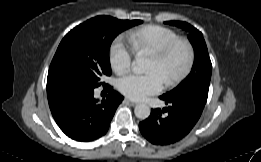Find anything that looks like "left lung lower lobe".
I'll return each mask as SVG.
<instances>
[{
    "label": "left lung lower lobe",
    "mask_w": 261,
    "mask_h": 162,
    "mask_svg": "<svg viewBox=\"0 0 261 162\" xmlns=\"http://www.w3.org/2000/svg\"><path fill=\"white\" fill-rule=\"evenodd\" d=\"M160 99L169 106L151 110L150 116L139 124L142 135L155 145L173 144L185 137L199 120L207 101L188 92Z\"/></svg>",
    "instance_id": "left-lung-lower-lobe-1"
}]
</instances>
